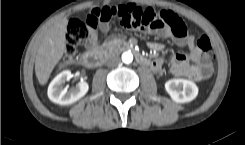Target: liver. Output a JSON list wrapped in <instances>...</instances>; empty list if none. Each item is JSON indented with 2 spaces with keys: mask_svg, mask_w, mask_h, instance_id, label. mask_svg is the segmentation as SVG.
<instances>
[{
  "mask_svg": "<svg viewBox=\"0 0 245 145\" xmlns=\"http://www.w3.org/2000/svg\"><path fill=\"white\" fill-rule=\"evenodd\" d=\"M67 21L54 25L43 38L38 49L35 71L40 84H45L65 50Z\"/></svg>",
  "mask_w": 245,
  "mask_h": 145,
  "instance_id": "obj_1",
  "label": "liver"
}]
</instances>
